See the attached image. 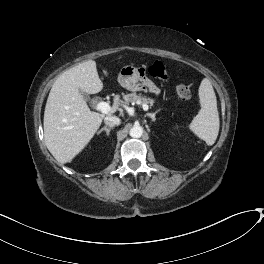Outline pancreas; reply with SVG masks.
<instances>
[{
  "label": "pancreas",
  "mask_w": 264,
  "mask_h": 264,
  "mask_svg": "<svg viewBox=\"0 0 264 264\" xmlns=\"http://www.w3.org/2000/svg\"><path fill=\"white\" fill-rule=\"evenodd\" d=\"M125 102L127 104L131 103V104H147L149 106H153L154 104V99L152 98H147L146 96H141V95H138L136 94L135 92L134 93H130V94H125L123 96Z\"/></svg>",
  "instance_id": "obj_1"
}]
</instances>
